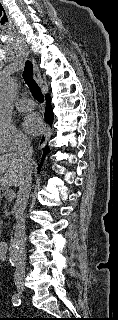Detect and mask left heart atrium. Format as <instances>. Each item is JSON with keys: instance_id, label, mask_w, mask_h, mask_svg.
Wrapping results in <instances>:
<instances>
[{"instance_id": "obj_1", "label": "left heart atrium", "mask_w": 118, "mask_h": 320, "mask_svg": "<svg viewBox=\"0 0 118 320\" xmlns=\"http://www.w3.org/2000/svg\"><path fill=\"white\" fill-rule=\"evenodd\" d=\"M23 127L29 134L38 135L43 130L42 118L36 113H31L25 117Z\"/></svg>"}]
</instances>
